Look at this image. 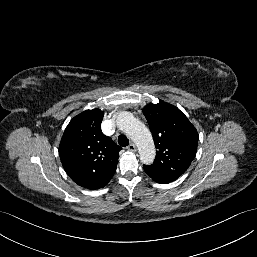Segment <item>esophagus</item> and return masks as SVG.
Here are the masks:
<instances>
[{
    "label": "esophagus",
    "instance_id": "obj_1",
    "mask_svg": "<svg viewBox=\"0 0 257 257\" xmlns=\"http://www.w3.org/2000/svg\"><path fill=\"white\" fill-rule=\"evenodd\" d=\"M127 149L129 151L135 152L136 151V146H135V144L131 143L130 145H128Z\"/></svg>",
    "mask_w": 257,
    "mask_h": 257
}]
</instances>
